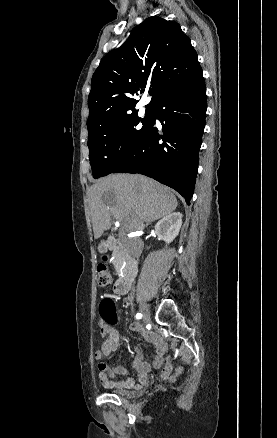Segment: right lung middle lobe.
<instances>
[{
  "instance_id": "1",
  "label": "right lung middle lobe",
  "mask_w": 277,
  "mask_h": 438,
  "mask_svg": "<svg viewBox=\"0 0 277 438\" xmlns=\"http://www.w3.org/2000/svg\"><path fill=\"white\" fill-rule=\"evenodd\" d=\"M150 121V108H147L144 118L138 117L135 112L88 127L89 160L93 177L113 173L137 146L148 130Z\"/></svg>"
}]
</instances>
